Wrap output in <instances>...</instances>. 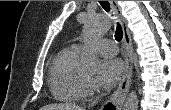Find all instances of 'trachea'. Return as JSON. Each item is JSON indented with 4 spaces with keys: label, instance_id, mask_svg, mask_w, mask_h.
I'll return each mask as SVG.
<instances>
[{
    "label": "trachea",
    "instance_id": "obj_1",
    "mask_svg": "<svg viewBox=\"0 0 171 110\" xmlns=\"http://www.w3.org/2000/svg\"><path fill=\"white\" fill-rule=\"evenodd\" d=\"M99 3L101 4V6L106 12L110 11L111 8H110V3L108 1H99ZM122 38H123V30H122L121 25L117 23L116 31H115V39L118 42H120Z\"/></svg>",
    "mask_w": 171,
    "mask_h": 110
}]
</instances>
